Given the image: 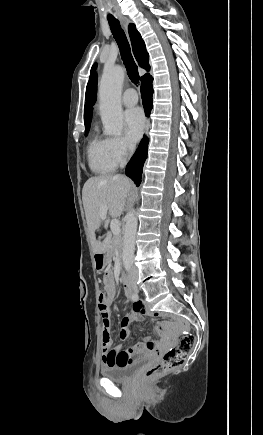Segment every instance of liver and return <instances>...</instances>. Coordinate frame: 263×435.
Listing matches in <instances>:
<instances>
[{"instance_id":"6515ba94","label":"liver","mask_w":263,"mask_h":435,"mask_svg":"<svg viewBox=\"0 0 263 435\" xmlns=\"http://www.w3.org/2000/svg\"><path fill=\"white\" fill-rule=\"evenodd\" d=\"M132 187L131 181L120 175L96 176L89 178L82 190V200L87 225L90 233L91 245L95 254L105 253L109 249L111 234L108 232L103 241L97 240L95 231L103 224L101 206H108L112 218L119 217L125 205V199ZM109 220L104 222L107 229Z\"/></svg>"}]
</instances>
